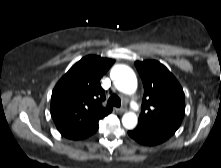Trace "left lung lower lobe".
I'll use <instances>...</instances> for the list:
<instances>
[{"instance_id":"obj_1","label":"left lung lower lobe","mask_w":221,"mask_h":168,"mask_svg":"<svg viewBox=\"0 0 221 168\" xmlns=\"http://www.w3.org/2000/svg\"><path fill=\"white\" fill-rule=\"evenodd\" d=\"M129 136L142 145L153 146L158 145L168 138L162 134L136 127L134 130L128 131Z\"/></svg>"}]
</instances>
